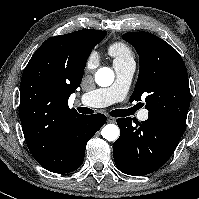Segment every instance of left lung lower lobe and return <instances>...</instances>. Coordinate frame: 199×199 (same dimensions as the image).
<instances>
[{"instance_id":"obj_1","label":"left lung lower lobe","mask_w":199,"mask_h":199,"mask_svg":"<svg viewBox=\"0 0 199 199\" xmlns=\"http://www.w3.org/2000/svg\"><path fill=\"white\" fill-rule=\"evenodd\" d=\"M120 137L113 144L117 168L128 175L157 171L175 151L185 126L160 117L132 125L130 117L117 119Z\"/></svg>"}]
</instances>
